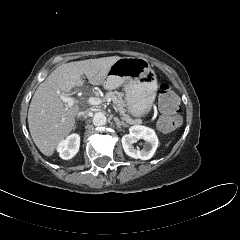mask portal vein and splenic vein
<instances>
[{
  "mask_svg": "<svg viewBox=\"0 0 240 240\" xmlns=\"http://www.w3.org/2000/svg\"><path fill=\"white\" fill-rule=\"evenodd\" d=\"M59 96H60L62 102L66 103L67 106H72L78 102L74 97H67L60 93H59ZM86 102L90 105H99V104H102L103 99L98 98V97H90L86 100Z\"/></svg>",
  "mask_w": 240,
  "mask_h": 240,
  "instance_id": "obj_1",
  "label": "portal vein and splenic vein"
}]
</instances>
